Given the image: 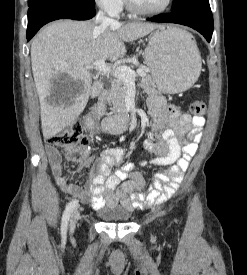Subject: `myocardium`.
I'll list each match as a JSON object with an SVG mask.
<instances>
[{"label":"myocardium","instance_id":"f54148a6","mask_svg":"<svg viewBox=\"0 0 247 275\" xmlns=\"http://www.w3.org/2000/svg\"><path fill=\"white\" fill-rule=\"evenodd\" d=\"M128 10L135 15H157L165 12L171 6L173 0H166V3L157 9H143L139 7L134 0H125Z\"/></svg>","mask_w":247,"mask_h":275}]
</instances>
